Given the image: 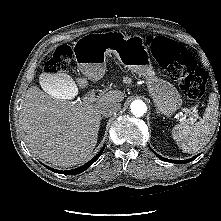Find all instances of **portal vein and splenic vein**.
<instances>
[{
	"mask_svg": "<svg viewBox=\"0 0 221 221\" xmlns=\"http://www.w3.org/2000/svg\"><path fill=\"white\" fill-rule=\"evenodd\" d=\"M52 93H53L55 96H58V95H59V93L56 92V91H52ZM87 97H88V99H89L91 102H93V101L96 100V96H95V94H94L93 92L88 93V94H87ZM188 114L192 115V117H190V119H189L191 122H192V121H195V120H197V119L200 118V117H199V114H198L196 111H190L189 109H182L181 115H188ZM182 120H184V119H182Z\"/></svg>",
	"mask_w": 221,
	"mask_h": 221,
	"instance_id": "portal-vein-and-splenic-vein-1",
	"label": "portal vein and splenic vein"
}]
</instances>
